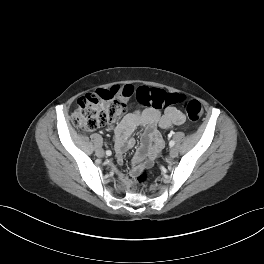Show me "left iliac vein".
<instances>
[{
	"mask_svg": "<svg viewBox=\"0 0 264 264\" xmlns=\"http://www.w3.org/2000/svg\"><path fill=\"white\" fill-rule=\"evenodd\" d=\"M169 155H170L171 158L177 157V155H178V149L175 148V147L171 148V150L169 152Z\"/></svg>",
	"mask_w": 264,
	"mask_h": 264,
	"instance_id": "left-iliac-vein-1",
	"label": "left iliac vein"
}]
</instances>
